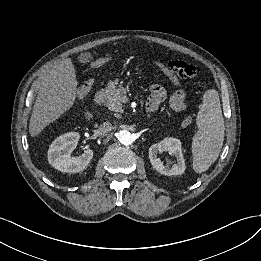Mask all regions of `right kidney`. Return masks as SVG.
Listing matches in <instances>:
<instances>
[{
    "label": "right kidney",
    "instance_id": "1",
    "mask_svg": "<svg viewBox=\"0 0 261 261\" xmlns=\"http://www.w3.org/2000/svg\"><path fill=\"white\" fill-rule=\"evenodd\" d=\"M80 135L77 132H69L52 142L48 149V161L57 170L68 173L83 171L93 157V151L86 149L79 157H71L76 148Z\"/></svg>",
    "mask_w": 261,
    "mask_h": 261
}]
</instances>
